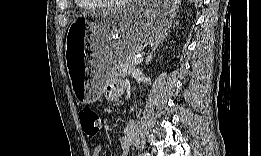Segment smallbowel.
Returning <instances> with one entry per match:
<instances>
[{
	"mask_svg": "<svg viewBox=\"0 0 261 156\" xmlns=\"http://www.w3.org/2000/svg\"><path fill=\"white\" fill-rule=\"evenodd\" d=\"M123 90V84L121 82H111L106 87V96L109 99L114 98L119 95ZM136 144V127L134 123H131L129 127L125 130L124 136L118 143L121 156H128L130 148ZM103 148L101 145L94 147L92 156H101Z\"/></svg>",
	"mask_w": 261,
	"mask_h": 156,
	"instance_id": "1",
	"label": "small bowel"
}]
</instances>
